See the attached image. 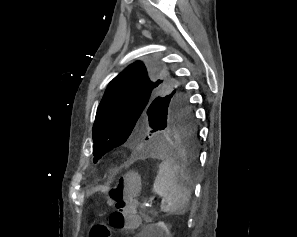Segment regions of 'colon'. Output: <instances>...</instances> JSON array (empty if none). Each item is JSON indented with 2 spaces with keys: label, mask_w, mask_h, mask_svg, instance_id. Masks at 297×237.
Segmentation results:
<instances>
[{
  "label": "colon",
  "mask_w": 297,
  "mask_h": 237,
  "mask_svg": "<svg viewBox=\"0 0 297 237\" xmlns=\"http://www.w3.org/2000/svg\"><path fill=\"white\" fill-rule=\"evenodd\" d=\"M139 179L128 174L108 191V203L113 211L107 223H98L90 229V237H109L112 230H133L140 225L136 212Z\"/></svg>",
  "instance_id": "5ec220e1"
}]
</instances>
